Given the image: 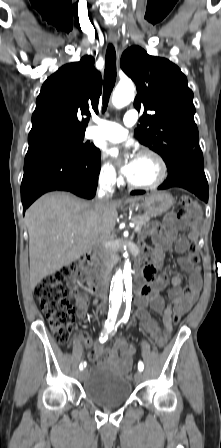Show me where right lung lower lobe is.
Masks as SVG:
<instances>
[{"mask_svg": "<svg viewBox=\"0 0 221 448\" xmlns=\"http://www.w3.org/2000/svg\"><path fill=\"white\" fill-rule=\"evenodd\" d=\"M100 172V151L90 159H79L57 150L27 152L21 183L23 213L42 194L63 190L93 198Z\"/></svg>", "mask_w": 221, "mask_h": 448, "instance_id": "right-lung-lower-lobe-1", "label": "right lung lower lobe"}]
</instances>
